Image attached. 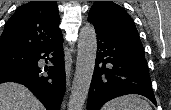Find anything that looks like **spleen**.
Instances as JSON below:
<instances>
[{
    "label": "spleen",
    "instance_id": "obj_1",
    "mask_svg": "<svg viewBox=\"0 0 171 110\" xmlns=\"http://www.w3.org/2000/svg\"><path fill=\"white\" fill-rule=\"evenodd\" d=\"M102 110H152V108L146 100L131 94L107 102Z\"/></svg>",
    "mask_w": 171,
    "mask_h": 110
}]
</instances>
